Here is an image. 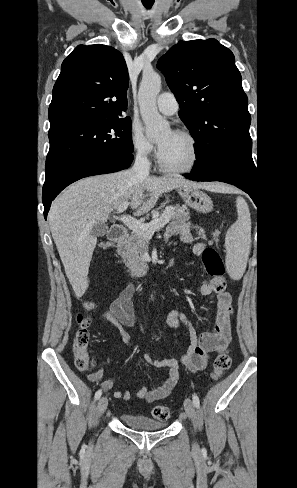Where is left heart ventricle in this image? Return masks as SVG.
Instances as JSON below:
<instances>
[{
    "mask_svg": "<svg viewBox=\"0 0 297 488\" xmlns=\"http://www.w3.org/2000/svg\"><path fill=\"white\" fill-rule=\"evenodd\" d=\"M157 143L160 157L167 166L183 168L191 162L193 151L185 138L166 131L158 138Z\"/></svg>",
    "mask_w": 297,
    "mask_h": 488,
    "instance_id": "1",
    "label": "left heart ventricle"
}]
</instances>
